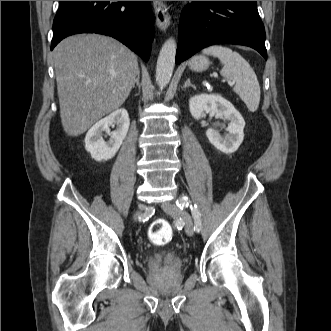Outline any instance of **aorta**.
I'll return each mask as SVG.
<instances>
[{
  "label": "aorta",
  "instance_id": "762f6f07",
  "mask_svg": "<svg viewBox=\"0 0 331 331\" xmlns=\"http://www.w3.org/2000/svg\"><path fill=\"white\" fill-rule=\"evenodd\" d=\"M176 42L173 38L166 40L160 50L156 66V82L159 86H166L172 77L175 56Z\"/></svg>",
  "mask_w": 331,
  "mask_h": 331
}]
</instances>
